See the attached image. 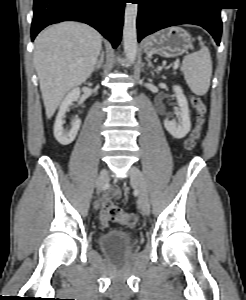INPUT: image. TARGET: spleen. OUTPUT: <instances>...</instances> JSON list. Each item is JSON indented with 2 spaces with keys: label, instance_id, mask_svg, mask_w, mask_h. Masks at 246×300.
<instances>
[{
  "label": "spleen",
  "instance_id": "obj_1",
  "mask_svg": "<svg viewBox=\"0 0 246 300\" xmlns=\"http://www.w3.org/2000/svg\"><path fill=\"white\" fill-rule=\"evenodd\" d=\"M200 50L184 57L181 70L191 91L198 95H205L210 87L212 76V60L209 49L200 42Z\"/></svg>",
  "mask_w": 246,
  "mask_h": 300
}]
</instances>
